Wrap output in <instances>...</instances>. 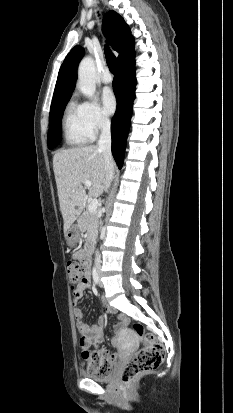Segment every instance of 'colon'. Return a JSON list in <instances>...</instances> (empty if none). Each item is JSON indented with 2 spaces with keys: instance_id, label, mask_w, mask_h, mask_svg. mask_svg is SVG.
<instances>
[{
  "instance_id": "colon-1",
  "label": "colon",
  "mask_w": 233,
  "mask_h": 413,
  "mask_svg": "<svg viewBox=\"0 0 233 413\" xmlns=\"http://www.w3.org/2000/svg\"><path fill=\"white\" fill-rule=\"evenodd\" d=\"M70 283L77 286L86 276L85 258L80 261L70 260L67 264ZM134 332L143 340V347L129 360L121 372V380L125 383L132 381L137 376L154 370L160 366L164 359V347L156 337L145 331L143 325H133ZM83 358L88 362L91 371L99 374L110 372V357L105 352L91 353L84 351Z\"/></svg>"
}]
</instances>
